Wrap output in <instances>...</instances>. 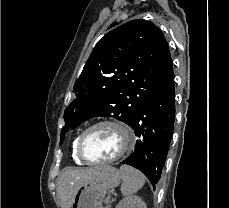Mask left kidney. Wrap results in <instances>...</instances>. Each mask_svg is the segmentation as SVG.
Wrapping results in <instances>:
<instances>
[{"label":"left kidney","mask_w":229,"mask_h":208,"mask_svg":"<svg viewBox=\"0 0 229 208\" xmlns=\"http://www.w3.org/2000/svg\"><path fill=\"white\" fill-rule=\"evenodd\" d=\"M116 208H147V206L138 196H127L117 204Z\"/></svg>","instance_id":"left-kidney-1"}]
</instances>
